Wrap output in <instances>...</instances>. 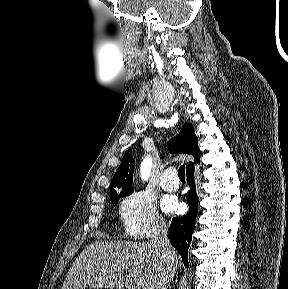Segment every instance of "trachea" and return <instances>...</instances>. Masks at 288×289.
<instances>
[{
    "mask_svg": "<svg viewBox=\"0 0 288 289\" xmlns=\"http://www.w3.org/2000/svg\"><path fill=\"white\" fill-rule=\"evenodd\" d=\"M178 176L181 181H185V165L180 166Z\"/></svg>",
    "mask_w": 288,
    "mask_h": 289,
    "instance_id": "obj_1",
    "label": "trachea"
}]
</instances>
